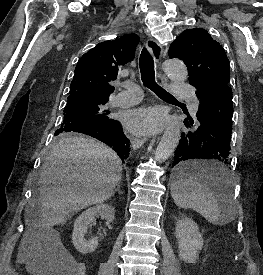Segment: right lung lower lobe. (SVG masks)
Returning a JSON list of instances; mask_svg holds the SVG:
<instances>
[{"label":"right lung lower lobe","mask_w":263,"mask_h":275,"mask_svg":"<svg viewBox=\"0 0 263 275\" xmlns=\"http://www.w3.org/2000/svg\"><path fill=\"white\" fill-rule=\"evenodd\" d=\"M71 132L83 133L110 145L123 162L129 157V139L124 135L121 124L116 120L110 119L102 126H82L74 128Z\"/></svg>","instance_id":"98d812e1"}]
</instances>
